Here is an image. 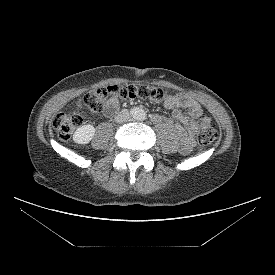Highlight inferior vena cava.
Here are the masks:
<instances>
[{"label":"inferior vena cava","mask_w":275,"mask_h":275,"mask_svg":"<svg viewBox=\"0 0 275 275\" xmlns=\"http://www.w3.org/2000/svg\"><path fill=\"white\" fill-rule=\"evenodd\" d=\"M130 119V114L128 110L124 109L121 112L118 113V115L115 117V122L117 123H123Z\"/></svg>","instance_id":"obj_1"}]
</instances>
